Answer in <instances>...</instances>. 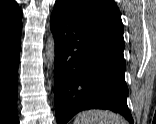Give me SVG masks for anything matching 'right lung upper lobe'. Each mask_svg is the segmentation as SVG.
Instances as JSON below:
<instances>
[{
    "mask_svg": "<svg viewBox=\"0 0 156 124\" xmlns=\"http://www.w3.org/2000/svg\"><path fill=\"white\" fill-rule=\"evenodd\" d=\"M22 26V12L14 0H0V30H13Z\"/></svg>",
    "mask_w": 156,
    "mask_h": 124,
    "instance_id": "right-lung-upper-lobe-1",
    "label": "right lung upper lobe"
}]
</instances>
